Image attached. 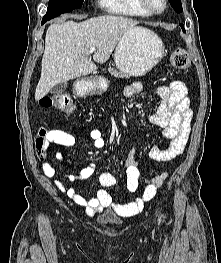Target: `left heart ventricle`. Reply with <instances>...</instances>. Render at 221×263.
<instances>
[{
  "mask_svg": "<svg viewBox=\"0 0 221 263\" xmlns=\"http://www.w3.org/2000/svg\"><path fill=\"white\" fill-rule=\"evenodd\" d=\"M154 8L160 9L162 7V0H150Z\"/></svg>",
  "mask_w": 221,
  "mask_h": 263,
  "instance_id": "b2bd125f",
  "label": "left heart ventricle"
}]
</instances>
